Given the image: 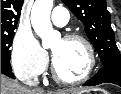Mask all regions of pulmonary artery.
I'll return each instance as SVG.
<instances>
[{
  "label": "pulmonary artery",
  "mask_w": 121,
  "mask_h": 94,
  "mask_svg": "<svg viewBox=\"0 0 121 94\" xmlns=\"http://www.w3.org/2000/svg\"><path fill=\"white\" fill-rule=\"evenodd\" d=\"M52 21L57 26H65L68 23L69 12L64 7H55L52 11Z\"/></svg>",
  "instance_id": "obj_1"
}]
</instances>
